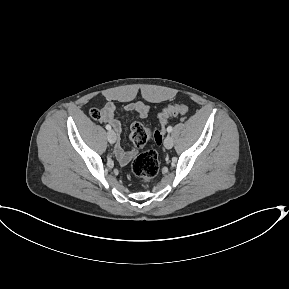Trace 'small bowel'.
<instances>
[{"mask_svg": "<svg viewBox=\"0 0 289 289\" xmlns=\"http://www.w3.org/2000/svg\"><path fill=\"white\" fill-rule=\"evenodd\" d=\"M124 111L137 114L140 118H147L150 115L151 109L148 105L135 102L129 103L124 107ZM100 121L108 123L117 134L121 133L122 123L120 119L116 117V106L114 102L108 101L100 111ZM115 155L119 162L123 165L128 164L135 156L136 150H126L120 143L115 146Z\"/></svg>", "mask_w": 289, "mask_h": 289, "instance_id": "c3829d8e", "label": "small bowel"}]
</instances>
